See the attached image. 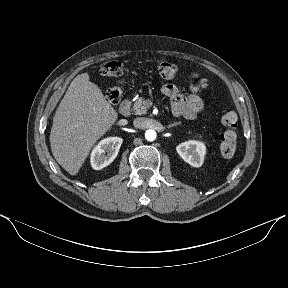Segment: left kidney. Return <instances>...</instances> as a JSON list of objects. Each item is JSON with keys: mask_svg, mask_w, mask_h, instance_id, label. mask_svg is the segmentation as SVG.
I'll return each mask as SVG.
<instances>
[{"mask_svg": "<svg viewBox=\"0 0 288 288\" xmlns=\"http://www.w3.org/2000/svg\"><path fill=\"white\" fill-rule=\"evenodd\" d=\"M176 150L182 159L191 166H202L206 153V147L203 142L190 140L179 144Z\"/></svg>", "mask_w": 288, "mask_h": 288, "instance_id": "obj_1", "label": "left kidney"}]
</instances>
